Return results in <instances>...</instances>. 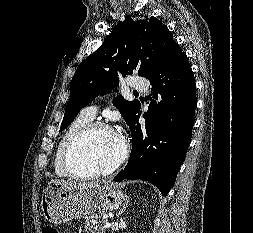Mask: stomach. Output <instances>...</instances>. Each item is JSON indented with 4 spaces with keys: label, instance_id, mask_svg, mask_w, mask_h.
<instances>
[{
    "label": "stomach",
    "instance_id": "1",
    "mask_svg": "<svg viewBox=\"0 0 253 233\" xmlns=\"http://www.w3.org/2000/svg\"><path fill=\"white\" fill-rule=\"evenodd\" d=\"M125 197L120 188L110 183L84 189L51 184L43 191L40 205L47 221L61 224L75 218H98L107 210H117Z\"/></svg>",
    "mask_w": 253,
    "mask_h": 233
}]
</instances>
